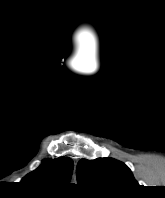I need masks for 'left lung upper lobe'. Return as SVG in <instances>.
Wrapping results in <instances>:
<instances>
[{"mask_svg":"<svg viewBox=\"0 0 165 198\" xmlns=\"http://www.w3.org/2000/svg\"><path fill=\"white\" fill-rule=\"evenodd\" d=\"M76 176L79 185L91 187L105 197L130 196L139 185L124 163L109 157L81 159Z\"/></svg>","mask_w":165,"mask_h":198,"instance_id":"obj_1","label":"left lung upper lobe"}]
</instances>
